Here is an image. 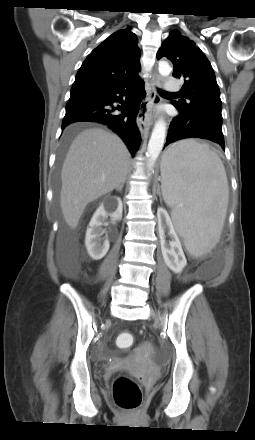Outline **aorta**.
Masks as SVG:
<instances>
[{
  "mask_svg": "<svg viewBox=\"0 0 255 440\" xmlns=\"http://www.w3.org/2000/svg\"><path fill=\"white\" fill-rule=\"evenodd\" d=\"M170 72H171V67L167 62L164 61L159 62V73L162 76H168ZM165 137H166V123L163 119H160L155 123L148 143L147 156H148L149 171L153 170L155 162L163 148Z\"/></svg>",
  "mask_w": 255,
  "mask_h": 440,
  "instance_id": "obj_1",
  "label": "aorta"
}]
</instances>
